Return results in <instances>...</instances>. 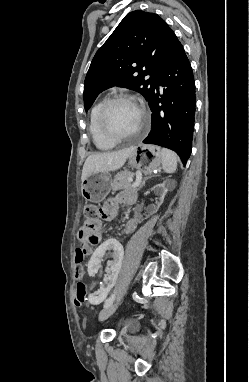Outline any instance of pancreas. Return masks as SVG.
I'll return each mask as SVG.
<instances>
[{
	"mask_svg": "<svg viewBox=\"0 0 249 382\" xmlns=\"http://www.w3.org/2000/svg\"><path fill=\"white\" fill-rule=\"evenodd\" d=\"M133 176H134V173L128 170H124L117 173L112 183V189L114 191L121 190V189L135 190L132 187L131 182L128 181V178H132Z\"/></svg>",
	"mask_w": 249,
	"mask_h": 382,
	"instance_id": "obj_1",
	"label": "pancreas"
}]
</instances>
